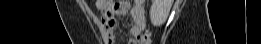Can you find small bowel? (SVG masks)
<instances>
[{"mask_svg": "<svg viewBox=\"0 0 261 44\" xmlns=\"http://www.w3.org/2000/svg\"><path fill=\"white\" fill-rule=\"evenodd\" d=\"M98 9L102 12V35L108 44H117L118 39L116 36V29L118 27L117 16L123 15L127 12V7L121 8L117 6H98ZM131 16L133 19V25L130 28L131 39L130 44H137L136 38L139 37L146 27V18L144 11V2L142 0H136L134 6L131 9Z\"/></svg>", "mask_w": 261, "mask_h": 44, "instance_id": "1", "label": "small bowel"}]
</instances>
